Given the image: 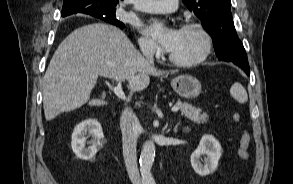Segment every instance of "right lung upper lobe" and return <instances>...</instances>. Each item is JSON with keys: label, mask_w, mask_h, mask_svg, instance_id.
Instances as JSON below:
<instances>
[{"label": "right lung upper lobe", "mask_w": 293, "mask_h": 184, "mask_svg": "<svg viewBox=\"0 0 293 184\" xmlns=\"http://www.w3.org/2000/svg\"><path fill=\"white\" fill-rule=\"evenodd\" d=\"M62 13L63 17L75 14V13H85L92 15L94 17L105 19L98 17V15L93 11V7L97 6L100 9H114L118 4V0H64ZM108 20V19H107Z\"/></svg>", "instance_id": "obj_1"}]
</instances>
